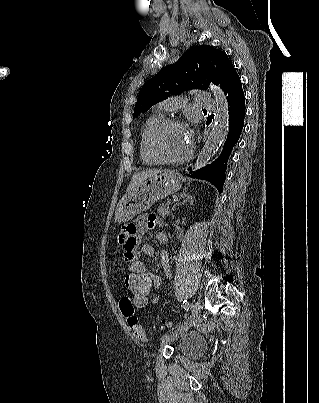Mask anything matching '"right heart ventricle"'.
<instances>
[{"label":"right heart ventricle","mask_w":319,"mask_h":403,"mask_svg":"<svg viewBox=\"0 0 319 403\" xmlns=\"http://www.w3.org/2000/svg\"><path fill=\"white\" fill-rule=\"evenodd\" d=\"M164 120V115L161 111L157 110L149 115L140 132V156L144 164L157 165L160 162L153 157L149 149V141L154 129Z\"/></svg>","instance_id":"e07e8e85"}]
</instances>
